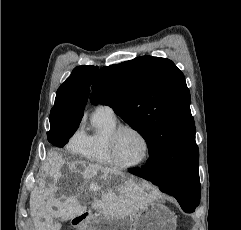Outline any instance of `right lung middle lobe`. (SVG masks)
<instances>
[{"label": "right lung middle lobe", "mask_w": 241, "mask_h": 230, "mask_svg": "<svg viewBox=\"0 0 241 230\" xmlns=\"http://www.w3.org/2000/svg\"><path fill=\"white\" fill-rule=\"evenodd\" d=\"M50 124L51 128L47 133L48 141L57 147H63L68 143L69 138L75 133L80 123L70 121H53L50 122Z\"/></svg>", "instance_id": "right-lung-middle-lobe-1"}]
</instances>
